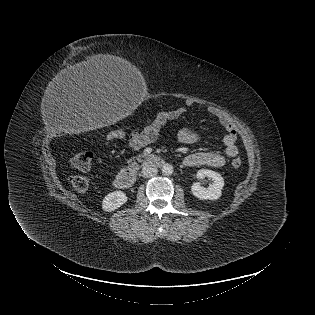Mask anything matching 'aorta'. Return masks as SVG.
Wrapping results in <instances>:
<instances>
[{"label": "aorta", "instance_id": "obj_1", "mask_svg": "<svg viewBox=\"0 0 315 315\" xmlns=\"http://www.w3.org/2000/svg\"><path fill=\"white\" fill-rule=\"evenodd\" d=\"M173 173V166L171 164H164L162 167V174L169 176Z\"/></svg>", "mask_w": 315, "mask_h": 315}]
</instances>
